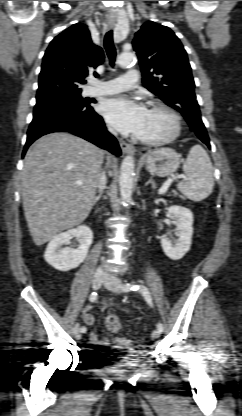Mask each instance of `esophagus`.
Segmentation results:
<instances>
[{
    "label": "esophagus",
    "mask_w": 242,
    "mask_h": 416,
    "mask_svg": "<svg viewBox=\"0 0 242 416\" xmlns=\"http://www.w3.org/2000/svg\"><path fill=\"white\" fill-rule=\"evenodd\" d=\"M114 25H115L114 22H108V26L109 27L112 28V27H114ZM119 143H120V147H121V149H122V151L124 153H131V154H133L135 152V148L131 144L126 143L125 141H122V140H120Z\"/></svg>",
    "instance_id": "obj_1"
}]
</instances>
